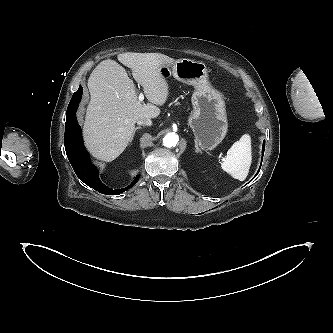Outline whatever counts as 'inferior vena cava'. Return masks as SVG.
Returning a JSON list of instances; mask_svg holds the SVG:
<instances>
[{
    "instance_id": "1",
    "label": "inferior vena cava",
    "mask_w": 333,
    "mask_h": 333,
    "mask_svg": "<svg viewBox=\"0 0 333 333\" xmlns=\"http://www.w3.org/2000/svg\"><path fill=\"white\" fill-rule=\"evenodd\" d=\"M137 124L138 125H144V126H151L152 125V121L150 118H146V117H141L137 120Z\"/></svg>"
}]
</instances>
